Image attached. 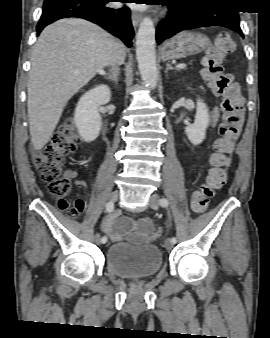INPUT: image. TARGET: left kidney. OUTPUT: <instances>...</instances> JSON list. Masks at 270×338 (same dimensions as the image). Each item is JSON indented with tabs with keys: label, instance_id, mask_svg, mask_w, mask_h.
Masks as SVG:
<instances>
[{
	"label": "left kidney",
	"instance_id": "obj_1",
	"mask_svg": "<svg viewBox=\"0 0 270 338\" xmlns=\"http://www.w3.org/2000/svg\"><path fill=\"white\" fill-rule=\"evenodd\" d=\"M196 110L194 123L185 128V133L193 145L203 142L210 122L208 108L201 99L197 101Z\"/></svg>",
	"mask_w": 270,
	"mask_h": 338
}]
</instances>
